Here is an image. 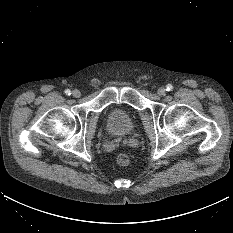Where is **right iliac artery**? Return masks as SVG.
<instances>
[{"label":"right iliac artery","instance_id":"right-iliac-artery-1","mask_svg":"<svg viewBox=\"0 0 233 233\" xmlns=\"http://www.w3.org/2000/svg\"><path fill=\"white\" fill-rule=\"evenodd\" d=\"M65 94H66V95H70V94H71V91H70L69 89H66V90H65Z\"/></svg>","mask_w":233,"mask_h":233}]
</instances>
